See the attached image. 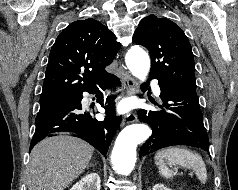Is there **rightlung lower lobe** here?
I'll use <instances>...</instances> for the list:
<instances>
[{"instance_id": "1", "label": "right lung lower lobe", "mask_w": 238, "mask_h": 190, "mask_svg": "<svg viewBox=\"0 0 238 190\" xmlns=\"http://www.w3.org/2000/svg\"><path fill=\"white\" fill-rule=\"evenodd\" d=\"M98 85L106 89L117 85L120 86L121 83L118 77L111 75L99 82ZM86 91L95 92L97 91V86L95 85ZM82 98L83 96L80 94L76 102L72 104L39 112L35 120L36 129L30 150L50 133L69 131L80 134L82 139L101 151L103 155H106L111 140L119 129L121 122L120 117L114 114L115 96L107 97L105 106H103V100H100L101 106L106 110L104 121H98L91 117L96 111L82 110Z\"/></svg>"}]
</instances>
